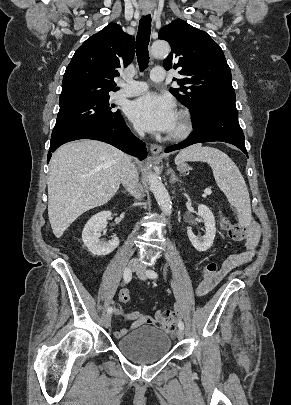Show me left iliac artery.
<instances>
[{"label":"left iliac artery","mask_w":291,"mask_h":405,"mask_svg":"<svg viewBox=\"0 0 291 405\" xmlns=\"http://www.w3.org/2000/svg\"><path fill=\"white\" fill-rule=\"evenodd\" d=\"M146 274H147V276L149 277V278H151V279H156L157 277H158V274L154 271V270H147L146 271ZM178 327L180 328V329H184V323H183V321H179L178 322Z\"/></svg>","instance_id":"44dca946"}]
</instances>
